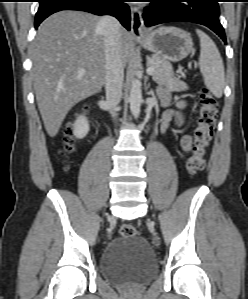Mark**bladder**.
<instances>
[{"mask_svg":"<svg viewBox=\"0 0 248 299\" xmlns=\"http://www.w3.org/2000/svg\"><path fill=\"white\" fill-rule=\"evenodd\" d=\"M100 270L114 284L141 285L157 274V260L144 237H117L105 246Z\"/></svg>","mask_w":248,"mask_h":299,"instance_id":"31cf9c89","label":"bladder"}]
</instances>
